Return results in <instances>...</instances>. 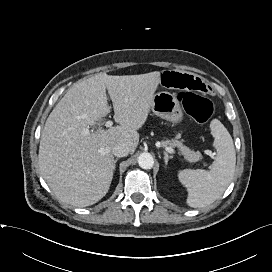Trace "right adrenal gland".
<instances>
[{"instance_id":"1","label":"right adrenal gland","mask_w":272,"mask_h":272,"mask_svg":"<svg viewBox=\"0 0 272 272\" xmlns=\"http://www.w3.org/2000/svg\"><path fill=\"white\" fill-rule=\"evenodd\" d=\"M118 159L114 160V166H113V169L115 170V164L117 162Z\"/></svg>"}]
</instances>
